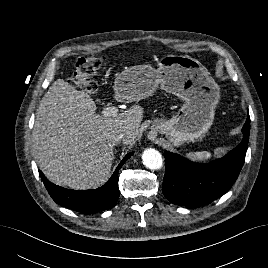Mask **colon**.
I'll list each match as a JSON object with an SVG mask.
<instances>
[{"label":"colon","mask_w":268,"mask_h":268,"mask_svg":"<svg viewBox=\"0 0 268 268\" xmlns=\"http://www.w3.org/2000/svg\"><path fill=\"white\" fill-rule=\"evenodd\" d=\"M105 59L102 56H90L80 58L76 63V70L69 79V84L86 91H94L97 88L93 75L103 65Z\"/></svg>","instance_id":"5ec220e1"}]
</instances>
